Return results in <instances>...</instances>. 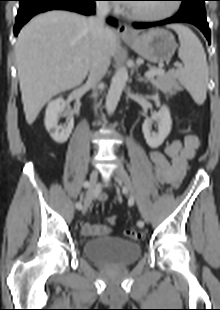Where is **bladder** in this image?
<instances>
[{"instance_id":"obj_1","label":"bladder","mask_w":220,"mask_h":310,"mask_svg":"<svg viewBox=\"0 0 220 310\" xmlns=\"http://www.w3.org/2000/svg\"><path fill=\"white\" fill-rule=\"evenodd\" d=\"M85 256L103 266H128L141 256L139 243L118 237L90 239L83 243Z\"/></svg>"}]
</instances>
